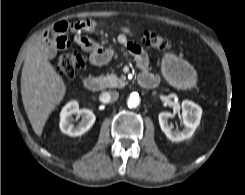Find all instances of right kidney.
<instances>
[{
    "label": "right kidney",
    "mask_w": 245,
    "mask_h": 195,
    "mask_svg": "<svg viewBox=\"0 0 245 195\" xmlns=\"http://www.w3.org/2000/svg\"><path fill=\"white\" fill-rule=\"evenodd\" d=\"M73 115L81 117L78 125H74ZM95 115L89 109H79L77 101L67 103L60 113V129L64 134L69 136H81L87 132L95 122Z\"/></svg>",
    "instance_id": "1"
}]
</instances>
